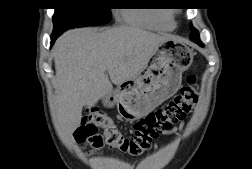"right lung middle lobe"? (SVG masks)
<instances>
[{
	"mask_svg": "<svg viewBox=\"0 0 252 169\" xmlns=\"http://www.w3.org/2000/svg\"><path fill=\"white\" fill-rule=\"evenodd\" d=\"M109 0H57L54 32L69 28L106 24L111 20Z\"/></svg>",
	"mask_w": 252,
	"mask_h": 169,
	"instance_id": "dd1d6c3e",
	"label": "right lung middle lobe"
}]
</instances>
